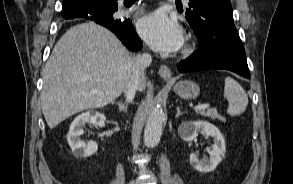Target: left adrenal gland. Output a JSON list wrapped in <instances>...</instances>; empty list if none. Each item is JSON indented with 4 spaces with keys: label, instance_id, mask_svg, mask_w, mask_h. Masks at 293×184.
Returning a JSON list of instances; mask_svg holds the SVG:
<instances>
[{
    "label": "left adrenal gland",
    "instance_id": "left-adrenal-gland-1",
    "mask_svg": "<svg viewBox=\"0 0 293 184\" xmlns=\"http://www.w3.org/2000/svg\"><path fill=\"white\" fill-rule=\"evenodd\" d=\"M184 112H181L180 107H177V113H176V118H178L179 116H181Z\"/></svg>",
    "mask_w": 293,
    "mask_h": 184
}]
</instances>
